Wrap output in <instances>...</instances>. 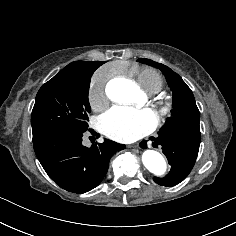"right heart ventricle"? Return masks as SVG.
Returning <instances> with one entry per match:
<instances>
[{
  "label": "right heart ventricle",
  "instance_id": "e07e8e85",
  "mask_svg": "<svg viewBox=\"0 0 236 236\" xmlns=\"http://www.w3.org/2000/svg\"><path fill=\"white\" fill-rule=\"evenodd\" d=\"M119 74L124 75L127 80L137 84L148 94H155L163 88V80L161 76L150 68L128 70L126 65H123ZM156 127H153V129Z\"/></svg>",
  "mask_w": 236,
  "mask_h": 236
}]
</instances>
